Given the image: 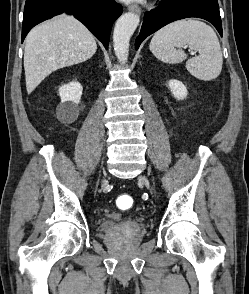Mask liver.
<instances>
[{
	"label": "liver",
	"instance_id": "obj_1",
	"mask_svg": "<svg viewBox=\"0 0 249 294\" xmlns=\"http://www.w3.org/2000/svg\"><path fill=\"white\" fill-rule=\"evenodd\" d=\"M96 50L95 37L73 16L61 15L37 25L25 40L28 94L52 72L87 61Z\"/></svg>",
	"mask_w": 249,
	"mask_h": 294
}]
</instances>
